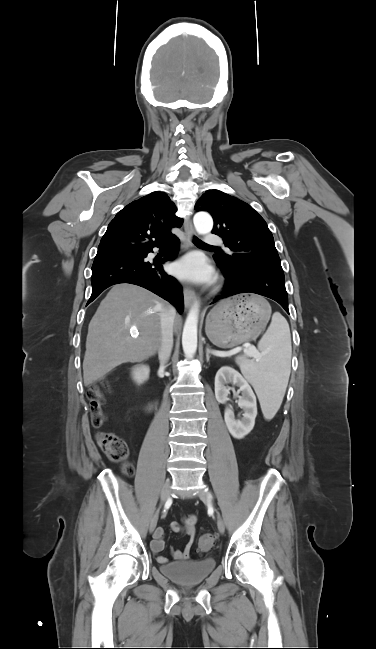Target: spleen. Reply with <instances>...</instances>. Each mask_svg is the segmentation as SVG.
Masks as SVG:
<instances>
[{
  "mask_svg": "<svg viewBox=\"0 0 376 649\" xmlns=\"http://www.w3.org/2000/svg\"><path fill=\"white\" fill-rule=\"evenodd\" d=\"M259 361L238 359L242 374L254 387L266 419L279 410L291 370V335L288 322L275 312L272 321L258 344Z\"/></svg>",
  "mask_w": 376,
  "mask_h": 649,
  "instance_id": "3e777b00",
  "label": "spleen"
}]
</instances>
